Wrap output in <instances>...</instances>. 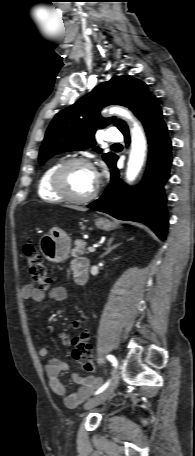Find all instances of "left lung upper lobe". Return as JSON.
Masks as SVG:
<instances>
[{
  "instance_id": "5c2ea615",
  "label": "left lung upper lobe",
  "mask_w": 195,
  "mask_h": 456,
  "mask_svg": "<svg viewBox=\"0 0 195 456\" xmlns=\"http://www.w3.org/2000/svg\"><path fill=\"white\" fill-rule=\"evenodd\" d=\"M153 96L144 82L131 76H114L110 81L98 85L54 117L40 149L39 163L43 165L46 160L59 153L93 147L96 129L113 121L122 133L127 131L124 121L115 120L114 117L104 119L99 115L100 109L110 104H119L130 108L136 115ZM94 149L100 151L97 147ZM116 158L114 153L103 154L109 167Z\"/></svg>"
}]
</instances>
